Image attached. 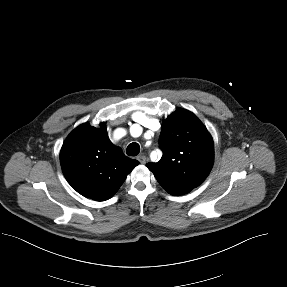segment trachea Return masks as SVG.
I'll return each instance as SVG.
<instances>
[{"mask_svg": "<svg viewBox=\"0 0 287 287\" xmlns=\"http://www.w3.org/2000/svg\"><path fill=\"white\" fill-rule=\"evenodd\" d=\"M140 152V146L138 143H131L128 145L126 153L129 156H137Z\"/></svg>", "mask_w": 287, "mask_h": 287, "instance_id": "1", "label": "trachea"}]
</instances>
